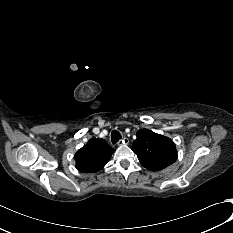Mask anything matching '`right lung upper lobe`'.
I'll return each instance as SVG.
<instances>
[{"mask_svg": "<svg viewBox=\"0 0 233 233\" xmlns=\"http://www.w3.org/2000/svg\"><path fill=\"white\" fill-rule=\"evenodd\" d=\"M114 151L104 139H90L74 156L76 168L83 173L98 172L107 164Z\"/></svg>", "mask_w": 233, "mask_h": 233, "instance_id": "cb5924a9", "label": "right lung upper lobe"}]
</instances>
